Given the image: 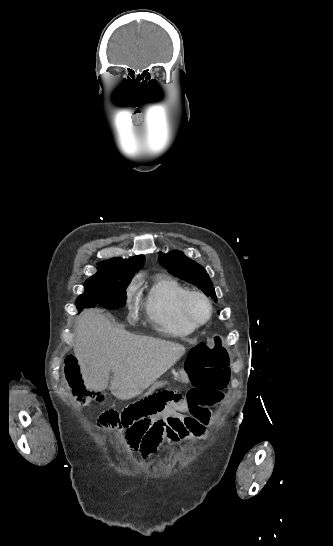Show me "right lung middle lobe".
<instances>
[{
  "label": "right lung middle lobe",
  "mask_w": 333,
  "mask_h": 546,
  "mask_svg": "<svg viewBox=\"0 0 333 546\" xmlns=\"http://www.w3.org/2000/svg\"><path fill=\"white\" fill-rule=\"evenodd\" d=\"M136 272L119 270H98L85 282V292L76 301L78 310L103 306L107 309H118L125 305L126 288Z\"/></svg>",
  "instance_id": "right-lung-middle-lobe-1"
}]
</instances>
